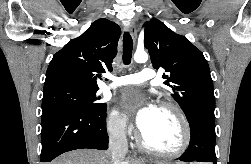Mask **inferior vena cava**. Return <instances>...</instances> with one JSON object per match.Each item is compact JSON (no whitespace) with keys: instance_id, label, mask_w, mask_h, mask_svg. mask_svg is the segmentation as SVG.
I'll use <instances>...</instances> for the list:
<instances>
[{"instance_id":"1","label":"inferior vena cava","mask_w":251,"mask_h":164,"mask_svg":"<svg viewBox=\"0 0 251 164\" xmlns=\"http://www.w3.org/2000/svg\"><path fill=\"white\" fill-rule=\"evenodd\" d=\"M125 128L126 121L123 120L110 133L109 151L111 153L112 164H124V159L128 152V143Z\"/></svg>"}]
</instances>
